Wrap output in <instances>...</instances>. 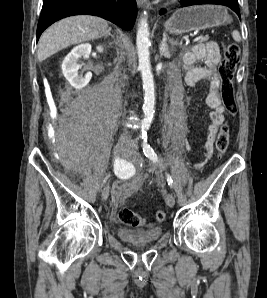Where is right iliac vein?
<instances>
[{
	"label": "right iliac vein",
	"mask_w": 267,
	"mask_h": 298,
	"mask_svg": "<svg viewBox=\"0 0 267 298\" xmlns=\"http://www.w3.org/2000/svg\"><path fill=\"white\" fill-rule=\"evenodd\" d=\"M125 150H126V147L124 144L116 145L113 151L114 158H119ZM108 197H109V186L105 185L102 190V198L103 200H107Z\"/></svg>",
	"instance_id": "63e3f726"
}]
</instances>
